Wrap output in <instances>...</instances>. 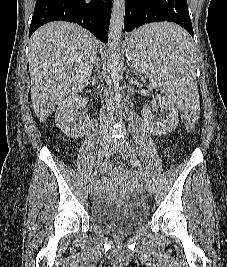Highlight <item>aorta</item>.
I'll return each mask as SVG.
<instances>
[{"label": "aorta", "instance_id": "obj_1", "mask_svg": "<svg viewBox=\"0 0 227 267\" xmlns=\"http://www.w3.org/2000/svg\"><path fill=\"white\" fill-rule=\"evenodd\" d=\"M126 0H114L112 6L111 20L108 34V52L110 75L113 82V89L117 93L122 78L120 65V43L124 26Z\"/></svg>", "mask_w": 227, "mask_h": 267}]
</instances>
